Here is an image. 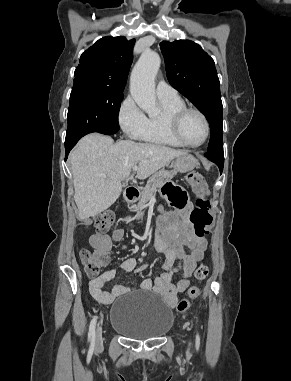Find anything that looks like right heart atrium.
<instances>
[{
  "label": "right heart atrium",
  "instance_id": "obj_1",
  "mask_svg": "<svg viewBox=\"0 0 291 381\" xmlns=\"http://www.w3.org/2000/svg\"><path fill=\"white\" fill-rule=\"evenodd\" d=\"M117 117L121 129L128 137L141 138L147 117L130 95L121 102Z\"/></svg>",
  "mask_w": 291,
  "mask_h": 381
}]
</instances>
